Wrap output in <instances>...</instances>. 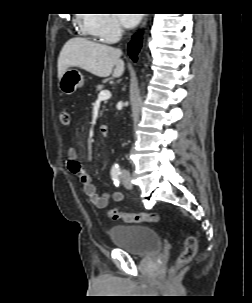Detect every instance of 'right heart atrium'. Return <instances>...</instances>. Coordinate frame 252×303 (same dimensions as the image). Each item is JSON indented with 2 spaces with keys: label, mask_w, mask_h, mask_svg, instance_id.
Masks as SVG:
<instances>
[{
  "label": "right heart atrium",
  "mask_w": 252,
  "mask_h": 303,
  "mask_svg": "<svg viewBox=\"0 0 252 303\" xmlns=\"http://www.w3.org/2000/svg\"><path fill=\"white\" fill-rule=\"evenodd\" d=\"M86 28L105 43H115L122 35V28L113 14H88Z\"/></svg>",
  "instance_id": "d8ad5b80"
}]
</instances>
